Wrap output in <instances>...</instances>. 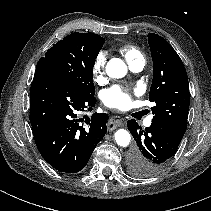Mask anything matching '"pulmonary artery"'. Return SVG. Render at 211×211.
Instances as JSON below:
<instances>
[{"label": "pulmonary artery", "instance_id": "obj_1", "mask_svg": "<svg viewBox=\"0 0 211 211\" xmlns=\"http://www.w3.org/2000/svg\"><path fill=\"white\" fill-rule=\"evenodd\" d=\"M145 61L144 60H139L131 65H129L130 69L136 73L141 72L144 68ZM152 123V118L149 117L148 119L145 120V126L149 127Z\"/></svg>", "mask_w": 211, "mask_h": 211}]
</instances>
